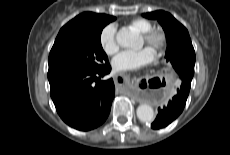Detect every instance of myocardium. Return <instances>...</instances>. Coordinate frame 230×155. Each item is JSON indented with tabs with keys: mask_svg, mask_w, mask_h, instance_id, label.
<instances>
[{
	"mask_svg": "<svg viewBox=\"0 0 230 155\" xmlns=\"http://www.w3.org/2000/svg\"><path fill=\"white\" fill-rule=\"evenodd\" d=\"M141 36L157 56H160L163 53L168 43L167 35L162 29L151 28L148 31L141 33Z\"/></svg>",
	"mask_w": 230,
	"mask_h": 155,
	"instance_id": "1",
	"label": "myocardium"
}]
</instances>
